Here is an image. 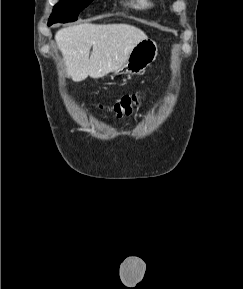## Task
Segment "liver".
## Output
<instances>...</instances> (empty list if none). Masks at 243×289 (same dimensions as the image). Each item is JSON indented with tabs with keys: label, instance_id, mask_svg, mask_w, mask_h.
Segmentation results:
<instances>
[{
	"label": "liver",
	"instance_id": "liver-1",
	"mask_svg": "<svg viewBox=\"0 0 243 289\" xmlns=\"http://www.w3.org/2000/svg\"><path fill=\"white\" fill-rule=\"evenodd\" d=\"M147 38L142 30L128 24L82 23L55 34L67 74L76 82L88 76L102 78L119 69L132 49Z\"/></svg>",
	"mask_w": 243,
	"mask_h": 289
}]
</instances>
